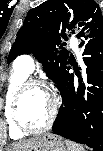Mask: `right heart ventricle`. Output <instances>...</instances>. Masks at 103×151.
I'll return each mask as SVG.
<instances>
[{
    "instance_id": "e07e8e85",
    "label": "right heart ventricle",
    "mask_w": 103,
    "mask_h": 151,
    "mask_svg": "<svg viewBox=\"0 0 103 151\" xmlns=\"http://www.w3.org/2000/svg\"><path fill=\"white\" fill-rule=\"evenodd\" d=\"M28 76V73L15 65L5 94L4 115L8 125L9 136L15 140L23 138L25 133L19 131L13 124L11 119V104L16 91L28 80Z\"/></svg>"
}]
</instances>
